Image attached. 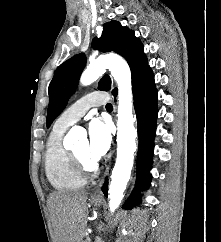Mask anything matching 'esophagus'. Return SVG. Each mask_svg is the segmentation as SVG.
I'll use <instances>...</instances> for the list:
<instances>
[{
	"label": "esophagus",
	"instance_id": "esophagus-1",
	"mask_svg": "<svg viewBox=\"0 0 221 242\" xmlns=\"http://www.w3.org/2000/svg\"><path fill=\"white\" fill-rule=\"evenodd\" d=\"M110 166H111V165H108V166H107V168H106V170H105V173H104V177H103V179L99 182V184H98L97 186H95V187L93 188V190H92V192H91V196H92L93 198L101 197V196H102L101 185H102V183H103L105 177H106V176L108 175V173H109Z\"/></svg>",
	"mask_w": 221,
	"mask_h": 242
}]
</instances>
